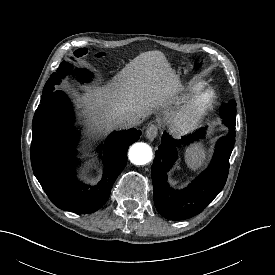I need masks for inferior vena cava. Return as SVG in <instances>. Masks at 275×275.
Here are the masks:
<instances>
[{"label":"inferior vena cava","mask_w":275,"mask_h":275,"mask_svg":"<svg viewBox=\"0 0 275 275\" xmlns=\"http://www.w3.org/2000/svg\"><path fill=\"white\" fill-rule=\"evenodd\" d=\"M140 119L139 115L134 113H126L123 116L119 117L116 121L119 128H130L135 126Z\"/></svg>","instance_id":"1"}]
</instances>
